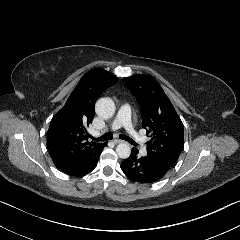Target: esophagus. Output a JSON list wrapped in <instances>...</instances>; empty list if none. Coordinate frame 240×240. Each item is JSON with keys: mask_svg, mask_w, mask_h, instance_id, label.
I'll return each instance as SVG.
<instances>
[{"mask_svg": "<svg viewBox=\"0 0 240 240\" xmlns=\"http://www.w3.org/2000/svg\"><path fill=\"white\" fill-rule=\"evenodd\" d=\"M122 142H123V141L120 140V139H115V140H114V143H115V144L122 143Z\"/></svg>", "mask_w": 240, "mask_h": 240, "instance_id": "1", "label": "esophagus"}]
</instances>
